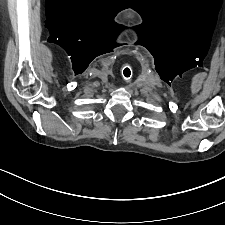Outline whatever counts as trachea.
I'll return each instance as SVG.
<instances>
[{
  "instance_id": "obj_1",
  "label": "trachea",
  "mask_w": 225,
  "mask_h": 225,
  "mask_svg": "<svg viewBox=\"0 0 225 225\" xmlns=\"http://www.w3.org/2000/svg\"><path fill=\"white\" fill-rule=\"evenodd\" d=\"M123 75H124V77H127L126 72H125V69L123 71Z\"/></svg>"
}]
</instances>
